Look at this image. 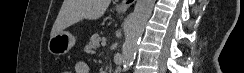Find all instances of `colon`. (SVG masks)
<instances>
[{
  "label": "colon",
  "mask_w": 244,
  "mask_h": 73,
  "mask_svg": "<svg viewBox=\"0 0 244 73\" xmlns=\"http://www.w3.org/2000/svg\"><path fill=\"white\" fill-rule=\"evenodd\" d=\"M62 73H70L69 69L65 68L62 70Z\"/></svg>",
  "instance_id": "5ec220e1"
}]
</instances>
